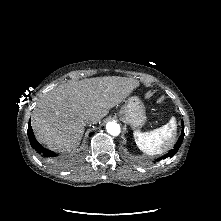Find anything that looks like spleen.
<instances>
[{
    "mask_svg": "<svg viewBox=\"0 0 221 221\" xmlns=\"http://www.w3.org/2000/svg\"><path fill=\"white\" fill-rule=\"evenodd\" d=\"M176 129V119L172 117L166 125L160 128L144 133L134 132L135 142L138 148L148 155L161 154L172 145Z\"/></svg>",
    "mask_w": 221,
    "mask_h": 221,
    "instance_id": "3e777b00",
    "label": "spleen"
}]
</instances>
